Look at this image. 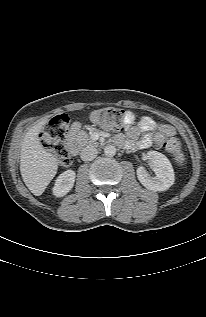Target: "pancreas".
I'll return each mask as SVG.
<instances>
[{"mask_svg":"<svg viewBox=\"0 0 206 317\" xmlns=\"http://www.w3.org/2000/svg\"><path fill=\"white\" fill-rule=\"evenodd\" d=\"M75 139V141L80 145V146H87V145H93L95 144V141L92 140L89 135L81 130V131H77L74 132L72 135Z\"/></svg>","mask_w":206,"mask_h":317,"instance_id":"obj_1","label":"pancreas"}]
</instances>
